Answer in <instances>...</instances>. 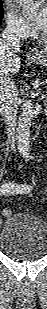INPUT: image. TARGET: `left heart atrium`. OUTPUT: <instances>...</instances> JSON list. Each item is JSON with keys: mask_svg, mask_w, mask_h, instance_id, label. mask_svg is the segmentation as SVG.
Here are the masks:
<instances>
[{"mask_svg": "<svg viewBox=\"0 0 47 309\" xmlns=\"http://www.w3.org/2000/svg\"><path fill=\"white\" fill-rule=\"evenodd\" d=\"M40 5V2H28V6L24 9L26 16L37 27H41L46 23V10Z\"/></svg>", "mask_w": 47, "mask_h": 309, "instance_id": "1", "label": "left heart atrium"}]
</instances>
